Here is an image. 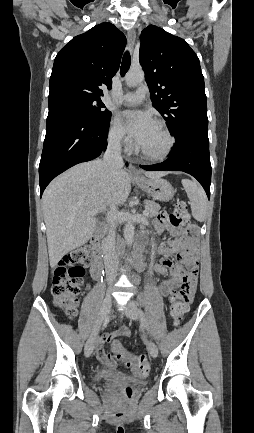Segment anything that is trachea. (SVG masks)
Wrapping results in <instances>:
<instances>
[{"label":"trachea","mask_w":254,"mask_h":433,"mask_svg":"<svg viewBox=\"0 0 254 433\" xmlns=\"http://www.w3.org/2000/svg\"><path fill=\"white\" fill-rule=\"evenodd\" d=\"M130 64H131L130 53L128 51H126L124 53V56H123V59H122V63H121V67H120V74H121L122 77L125 76V74L129 70Z\"/></svg>","instance_id":"3493384b"}]
</instances>
